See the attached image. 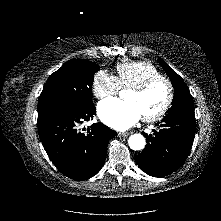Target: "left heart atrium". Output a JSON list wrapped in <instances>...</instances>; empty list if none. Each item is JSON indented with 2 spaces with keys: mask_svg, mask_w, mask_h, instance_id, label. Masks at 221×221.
I'll list each match as a JSON object with an SVG mask.
<instances>
[{
  "mask_svg": "<svg viewBox=\"0 0 221 221\" xmlns=\"http://www.w3.org/2000/svg\"><path fill=\"white\" fill-rule=\"evenodd\" d=\"M97 111L103 123L119 131L130 128L141 118L137 106L128 100L106 99L99 103Z\"/></svg>",
  "mask_w": 221,
  "mask_h": 221,
  "instance_id": "left-heart-atrium-1",
  "label": "left heart atrium"
}]
</instances>
